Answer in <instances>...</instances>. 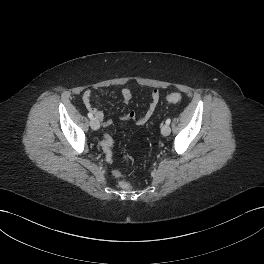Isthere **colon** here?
Listing matches in <instances>:
<instances>
[{"instance_id":"colon-1","label":"colon","mask_w":264,"mask_h":264,"mask_svg":"<svg viewBox=\"0 0 264 264\" xmlns=\"http://www.w3.org/2000/svg\"><path fill=\"white\" fill-rule=\"evenodd\" d=\"M166 99L168 102L178 103L182 100V96L180 93L172 92L166 96ZM101 146H102V149L105 153V156L113 155V153H112L113 139L109 134L104 135L103 140L101 142ZM116 176L122 177V174L120 172H118V174ZM120 187L124 190H130L132 188V185L127 181H121Z\"/></svg>"}]
</instances>
